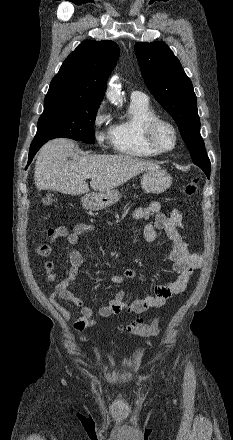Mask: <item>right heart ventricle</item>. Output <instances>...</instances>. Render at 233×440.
<instances>
[{
    "instance_id": "right-heart-ventricle-1",
    "label": "right heart ventricle",
    "mask_w": 233,
    "mask_h": 440,
    "mask_svg": "<svg viewBox=\"0 0 233 440\" xmlns=\"http://www.w3.org/2000/svg\"><path fill=\"white\" fill-rule=\"evenodd\" d=\"M129 116L116 121L111 126V140L116 152L126 157L149 158L158 153L151 150L143 139V126L146 121L157 116L148 101L131 100Z\"/></svg>"
}]
</instances>
